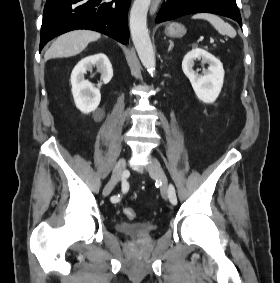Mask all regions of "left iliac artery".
Here are the masks:
<instances>
[{
  "label": "left iliac artery",
  "mask_w": 280,
  "mask_h": 283,
  "mask_svg": "<svg viewBox=\"0 0 280 283\" xmlns=\"http://www.w3.org/2000/svg\"><path fill=\"white\" fill-rule=\"evenodd\" d=\"M168 196H169L170 202L173 205H176L177 204V197H176V193H175V188L172 184H170L169 187H168Z\"/></svg>",
  "instance_id": "1"
}]
</instances>
